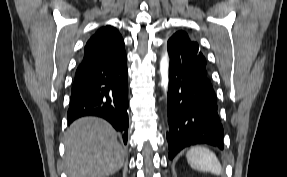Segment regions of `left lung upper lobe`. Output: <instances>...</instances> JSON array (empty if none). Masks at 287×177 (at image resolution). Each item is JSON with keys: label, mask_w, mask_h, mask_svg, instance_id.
<instances>
[{"label": "left lung upper lobe", "mask_w": 287, "mask_h": 177, "mask_svg": "<svg viewBox=\"0 0 287 177\" xmlns=\"http://www.w3.org/2000/svg\"><path fill=\"white\" fill-rule=\"evenodd\" d=\"M170 40L176 43L177 48L184 58L193 60L203 67H206V59L199 47L198 43L190 39L188 34L184 31L175 33Z\"/></svg>", "instance_id": "left-lung-upper-lobe-1"}]
</instances>
